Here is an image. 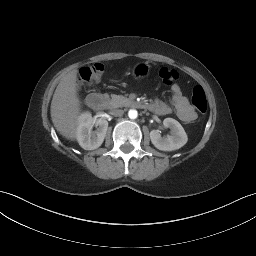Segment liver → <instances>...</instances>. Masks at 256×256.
Segmentation results:
<instances>
[{
  "mask_svg": "<svg viewBox=\"0 0 256 256\" xmlns=\"http://www.w3.org/2000/svg\"><path fill=\"white\" fill-rule=\"evenodd\" d=\"M80 111L77 70L73 69L62 77L51 102V119L54 127L66 139H76Z\"/></svg>",
  "mask_w": 256,
  "mask_h": 256,
  "instance_id": "liver-1",
  "label": "liver"
}]
</instances>
